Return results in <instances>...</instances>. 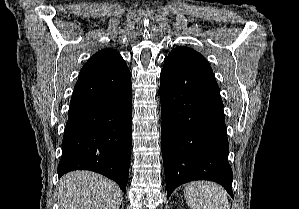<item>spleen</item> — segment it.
I'll return each instance as SVG.
<instances>
[{
    "label": "spleen",
    "mask_w": 299,
    "mask_h": 209,
    "mask_svg": "<svg viewBox=\"0 0 299 209\" xmlns=\"http://www.w3.org/2000/svg\"><path fill=\"white\" fill-rule=\"evenodd\" d=\"M184 197L191 209H230L226 190L214 182H191Z\"/></svg>",
    "instance_id": "spleen-1"
}]
</instances>
